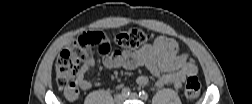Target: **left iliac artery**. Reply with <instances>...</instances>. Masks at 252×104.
<instances>
[{"label": "left iliac artery", "instance_id": "left-iliac-artery-1", "mask_svg": "<svg viewBox=\"0 0 252 104\" xmlns=\"http://www.w3.org/2000/svg\"><path fill=\"white\" fill-rule=\"evenodd\" d=\"M139 97L143 100H147L148 99V94L145 91H140L139 92Z\"/></svg>", "mask_w": 252, "mask_h": 104}]
</instances>
